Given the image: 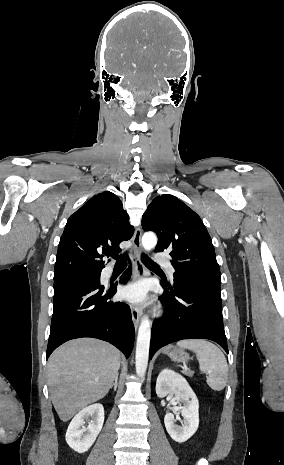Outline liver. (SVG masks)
Masks as SVG:
<instances>
[{
	"instance_id": "1",
	"label": "liver",
	"mask_w": 284,
	"mask_h": 465,
	"mask_svg": "<svg viewBox=\"0 0 284 465\" xmlns=\"http://www.w3.org/2000/svg\"><path fill=\"white\" fill-rule=\"evenodd\" d=\"M120 359L113 345L94 339L69 341L54 351L48 361V385L54 409L63 423L107 395Z\"/></svg>"
}]
</instances>
